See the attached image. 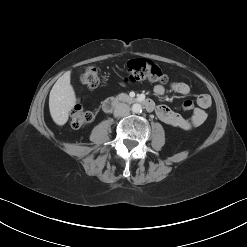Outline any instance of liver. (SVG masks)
<instances>
[{
  "instance_id": "1",
  "label": "liver",
  "mask_w": 247,
  "mask_h": 247,
  "mask_svg": "<svg viewBox=\"0 0 247 247\" xmlns=\"http://www.w3.org/2000/svg\"><path fill=\"white\" fill-rule=\"evenodd\" d=\"M70 71L64 73L53 85L49 95V110L57 125H64L69 118V112L76 103V96L70 84Z\"/></svg>"
}]
</instances>
